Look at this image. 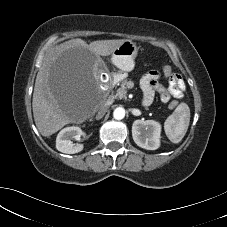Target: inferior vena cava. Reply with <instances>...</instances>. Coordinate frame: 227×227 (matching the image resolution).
Returning <instances> with one entry per match:
<instances>
[{
  "mask_svg": "<svg viewBox=\"0 0 227 227\" xmlns=\"http://www.w3.org/2000/svg\"><path fill=\"white\" fill-rule=\"evenodd\" d=\"M108 107L106 105H102L98 109V113L96 115V118L100 119L104 116V114L107 112Z\"/></svg>",
  "mask_w": 227,
  "mask_h": 227,
  "instance_id": "602c4592",
  "label": "inferior vena cava"
}]
</instances>
